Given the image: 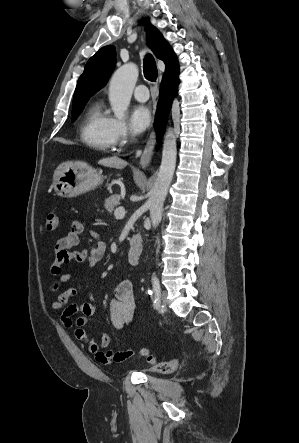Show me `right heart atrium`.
Segmentation results:
<instances>
[{
    "label": "right heart atrium",
    "mask_w": 299,
    "mask_h": 443,
    "mask_svg": "<svg viewBox=\"0 0 299 443\" xmlns=\"http://www.w3.org/2000/svg\"><path fill=\"white\" fill-rule=\"evenodd\" d=\"M111 137L114 145H121L130 137L128 126L124 120L112 118Z\"/></svg>",
    "instance_id": "obj_1"
}]
</instances>
